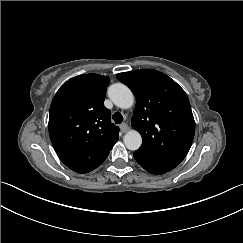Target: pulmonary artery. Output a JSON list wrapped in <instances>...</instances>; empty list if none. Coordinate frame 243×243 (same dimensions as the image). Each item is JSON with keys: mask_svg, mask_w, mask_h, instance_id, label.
I'll return each instance as SVG.
<instances>
[{"mask_svg": "<svg viewBox=\"0 0 243 243\" xmlns=\"http://www.w3.org/2000/svg\"><path fill=\"white\" fill-rule=\"evenodd\" d=\"M118 105L123 106L124 104L120 101L117 102Z\"/></svg>", "mask_w": 243, "mask_h": 243, "instance_id": "1", "label": "pulmonary artery"}]
</instances>
